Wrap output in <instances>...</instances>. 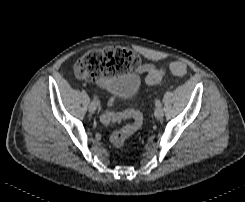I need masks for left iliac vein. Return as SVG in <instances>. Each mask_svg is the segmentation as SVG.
Here are the masks:
<instances>
[{
    "mask_svg": "<svg viewBox=\"0 0 245 202\" xmlns=\"http://www.w3.org/2000/svg\"><path fill=\"white\" fill-rule=\"evenodd\" d=\"M163 114H164V112H163V109L161 107H157L155 109L154 115H155L156 119H161L163 117Z\"/></svg>",
    "mask_w": 245,
    "mask_h": 202,
    "instance_id": "1",
    "label": "left iliac vein"
}]
</instances>
